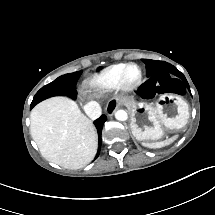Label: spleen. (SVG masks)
Here are the masks:
<instances>
[{
	"mask_svg": "<svg viewBox=\"0 0 215 215\" xmlns=\"http://www.w3.org/2000/svg\"><path fill=\"white\" fill-rule=\"evenodd\" d=\"M178 137H179V134H176L166 140L159 141V142H152V143L142 142V145L153 149L162 148L173 143L175 140H177Z\"/></svg>",
	"mask_w": 215,
	"mask_h": 215,
	"instance_id": "3e777b00",
	"label": "spleen"
}]
</instances>
